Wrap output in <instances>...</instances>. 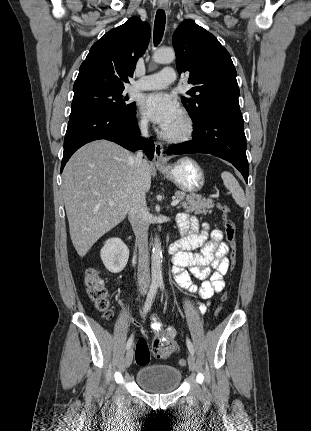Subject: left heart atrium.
<instances>
[{"label": "left heart atrium", "instance_id": "39dd6f15", "mask_svg": "<svg viewBox=\"0 0 311 431\" xmlns=\"http://www.w3.org/2000/svg\"><path fill=\"white\" fill-rule=\"evenodd\" d=\"M144 112L165 131L181 116L179 102L166 93H154L146 96L142 103Z\"/></svg>", "mask_w": 311, "mask_h": 431}]
</instances>
